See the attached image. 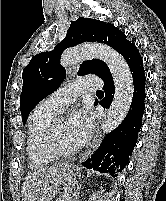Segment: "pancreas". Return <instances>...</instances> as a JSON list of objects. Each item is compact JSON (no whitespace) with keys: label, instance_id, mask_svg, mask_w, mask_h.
<instances>
[{"label":"pancreas","instance_id":"pancreas-1","mask_svg":"<svg viewBox=\"0 0 166 201\" xmlns=\"http://www.w3.org/2000/svg\"><path fill=\"white\" fill-rule=\"evenodd\" d=\"M71 194L70 193H66L65 196H63L61 199H59L58 201H71Z\"/></svg>","mask_w":166,"mask_h":201}]
</instances>
